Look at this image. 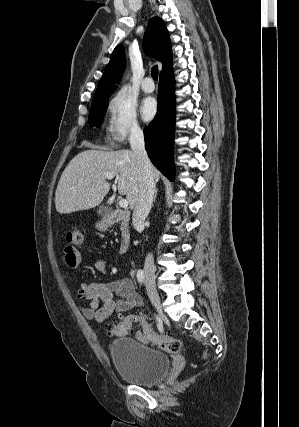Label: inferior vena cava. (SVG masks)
<instances>
[{
    "instance_id": "obj_1",
    "label": "inferior vena cava",
    "mask_w": 299,
    "mask_h": 427,
    "mask_svg": "<svg viewBox=\"0 0 299 427\" xmlns=\"http://www.w3.org/2000/svg\"><path fill=\"white\" fill-rule=\"evenodd\" d=\"M130 146L137 157L139 173V192L133 208L132 223L135 229L144 228V222L148 216L155 192V181L153 177L152 164L145 150L143 131L134 127L130 135ZM144 272L146 275H154L153 255L148 254L145 258Z\"/></svg>"
}]
</instances>
